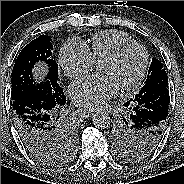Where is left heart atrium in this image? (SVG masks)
<instances>
[{
	"label": "left heart atrium",
	"instance_id": "39dd6f15",
	"mask_svg": "<svg viewBox=\"0 0 184 184\" xmlns=\"http://www.w3.org/2000/svg\"><path fill=\"white\" fill-rule=\"evenodd\" d=\"M119 85L110 75L95 74L75 82L70 89L73 101L80 106L96 109L116 96Z\"/></svg>",
	"mask_w": 184,
	"mask_h": 184
}]
</instances>
